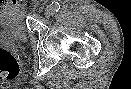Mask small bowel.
I'll return each mask as SVG.
<instances>
[{
  "mask_svg": "<svg viewBox=\"0 0 131 89\" xmlns=\"http://www.w3.org/2000/svg\"><path fill=\"white\" fill-rule=\"evenodd\" d=\"M31 2H28V4H27V6L29 7V6H31ZM13 6H16V3H13Z\"/></svg>",
  "mask_w": 131,
  "mask_h": 89,
  "instance_id": "small-bowel-1",
  "label": "small bowel"
}]
</instances>
